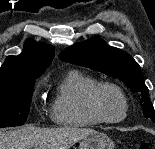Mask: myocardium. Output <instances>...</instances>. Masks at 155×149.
Returning a JSON list of instances; mask_svg holds the SVG:
<instances>
[{
    "label": "myocardium",
    "instance_id": "1",
    "mask_svg": "<svg viewBox=\"0 0 155 149\" xmlns=\"http://www.w3.org/2000/svg\"><path fill=\"white\" fill-rule=\"evenodd\" d=\"M104 88H111L120 95L124 104V111L121 117L116 119H110L101 112L97 98L99 92ZM88 106L90 111L98 120L108 124H116L122 122L126 119L129 113V101L127 95L120 86L112 82H98L96 85H94L88 93Z\"/></svg>",
    "mask_w": 155,
    "mask_h": 149
}]
</instances>
